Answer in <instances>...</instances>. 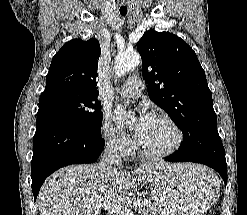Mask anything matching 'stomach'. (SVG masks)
I'll return each mask as SVG.
<instances>
[{"mask_svg":"<svg viewBox=\"0 0 247 215\" xmlns=\"http://www.w3.org/2000/svg\"><path fill=\"white\" fill-rule=\"evenodd\" d=\"M195 171L176 164L162 168L154 175L151 197L160 215H203L216 200L219 181L202 166Z\"/></svg>","mask_w":247,"mask_h":215,"instance_id":"obj_1","label":"stomach"}]
</instances>
